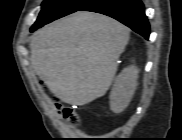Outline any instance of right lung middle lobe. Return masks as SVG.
<instances>
[{"mask_svg":"<svg viewBox=\"0 0 182 140\" xmlns=\"http://www.w3.org/2000/svg\"><path fill=\"white\" fill-rule=\"evenodd\" d=\"M91 0H44L37 21L31 29H37L58 18L78 11Z\"/></svg>","mask_w":182,"mask_h":140,"instance_id":"right-lung-middle-lobe-1","label":"right lung middle lobe"}]
</instances>
